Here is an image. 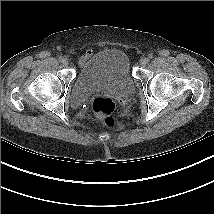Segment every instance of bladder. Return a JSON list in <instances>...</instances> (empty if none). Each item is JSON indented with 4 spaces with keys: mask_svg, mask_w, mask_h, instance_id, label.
<instances>
[{
    "mask_svg": "<svg viewBox=\"0 0 214 214\" xmlns=\"http://www.w3.org/2000/svg\"><path fill=\"white\" fill-rule=\"evenodd\" d=\"M133 89L134 78L127 56L122 51L107 49L81 65L72 82L70 98L71 101L81 100L96 90H109L123 96Z\"/></svg>",
    "mask_w": 214,
    "mask_h": 214,
    "instance_id": "31cf9c89",
    "label": "bladder"
}]
</instances>
